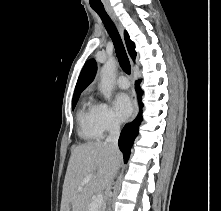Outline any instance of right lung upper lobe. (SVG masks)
Instances as JSON below:
<instances>
[{"instance_id":"obj_1","label":"right lung upper lobe","mask_w":221,"mask_h":211,"mask_svg":"<svg viewBox=\"0 0 221 211\" xmlns=\"http://www.w3.org/2000/svg\"><path fill=\"white\" fill-rule=\"evenodd\" d=\"M124 37L129 54L132 57V59L135 60L136 58L135 45L130 40L129 35L126 31L124 32ZM96 71H97V64L95 60L94 59L88 60L85 63L80 73L73 97L80 96L81 92L93 81Z\"/></svg>"}]
</instances>
